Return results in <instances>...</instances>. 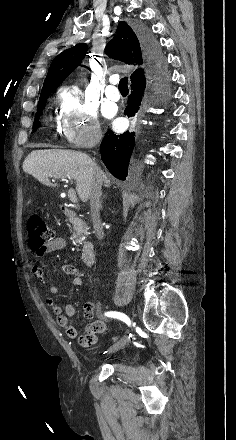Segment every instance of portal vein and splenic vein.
<instances>
[{
  "mask_svg": "<svg viewBox=\"0 0 236 440\" xmlns=\"http://www.w3.org/2000/svg\"><path fill=\"white\" fill-rule=\"evenodd\" d=\"M54 178H57V176H54ZM62 179H64V178H62ZM68 197H69L71 202H73V203H77L78 202V199H77V196H76V192L73 189H70L68 191Z\"/></svg>",
  "mask_w": 236,
  "mask_h": 440,
  "instance_id": "1",
  "label": "portal vein and splenic vein"
}]
</instances>
